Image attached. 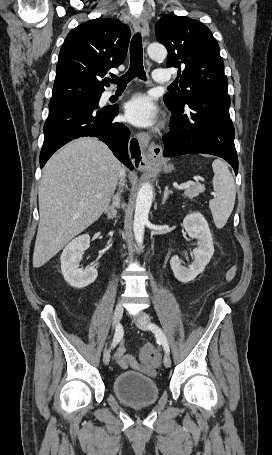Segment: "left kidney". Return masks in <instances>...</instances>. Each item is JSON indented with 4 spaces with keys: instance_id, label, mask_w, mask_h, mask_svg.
Listing matches in <instances>:
<instances>
[{
    "instance_id": "1",
    "label": "left kidney",
    "mask_w": 272,
    "mask_h": 455,
    "mask_svg": "<svg viewBox=\"0 0 272 455\" xmlns=\"http://www.w3.org/2000/svg\"><path fill=\"white\" fill-rule=\"evenodd\" d=\"M183 227L189 237L198 240V247L193 250L194 261L186 268L178 256H173L170 265L176 279L188 283L203 272L214 253V246L208 223L201 213L188 214L183 220Z\"/></svg>"
}]
</instances>
